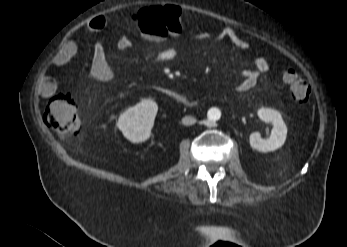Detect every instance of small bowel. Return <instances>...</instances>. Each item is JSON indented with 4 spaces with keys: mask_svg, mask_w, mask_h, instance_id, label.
Here are the masks:
<instances>
[{
    "mask_svg": "<svg viewBox=\"0 0 347 247\" xmlns=\"http://www.w3.org/2000/svg\"><path fill=\"white\" fill-rule=\"evenodd\" d=\"M108 24V20L103 17H95L89 20L84 28L88 32H98L103 30ZM182 32L174 33L173 37H180ZM193 38L198 40L210 41H228L232 46L242 52L249 49V43L234 29L230 27H222L215 31L201 30L192 35ZM118 48L121 51H127L132 48V41L126 35L120 37L118 41ZM77 44L72 39L67 40L62 44L60 49L54 55L51 66L61 67L65 65L77 52ZM105 47L99 43L93 46L92 58L90 65V72L92 76L99 81H110L115 78V70L108 63L105 55ZM177 51L174 47H166L159 53V60L167 63L175 59ZM254 69L248 70L247 74H243L239 83L236 85L235 90L238 92H245L254 88L258 81L260 73L269 70V64L264 57H256L253 60ZM37 87L42 96H52L57 90V84L54 78L48 73H42L37 79Z\"/></svg>",
    "mask_w": 347,
    "mask_h": 247,
    "instance_id": "obj_1",
    "label": "small bowel"
}]
</instances>
